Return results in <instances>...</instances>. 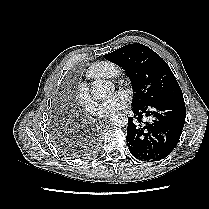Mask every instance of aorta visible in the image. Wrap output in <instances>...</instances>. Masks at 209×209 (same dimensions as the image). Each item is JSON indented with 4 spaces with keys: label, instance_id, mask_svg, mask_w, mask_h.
Listing matches in <instances>:
<instances>
[{
    "label": "aorta",
    "instance_id": "1",
    "mask_svg": "<svg viewBox=\"0 0 209 209\" xmlns=\"http://www.w3.org/2000/svg\"><path fill=\"white\" fill-rule=\"evenodd\" d=\"M112 87L108 82L96 81L92 85L91 94L94 99L103 100L109 97ZM111 122L114 126L125 127L128 124V118L125 114L119 113L112 117Z\"/></svg>",
    "mask_w": 209,
    "mask_h": 209
}]
</instances>
